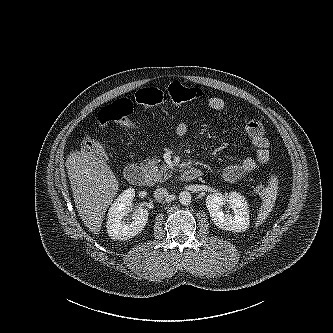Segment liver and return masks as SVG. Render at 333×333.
Instances as JSON below:
<instances>
[{
    "label": "liver",
    "mask_w": 333,
    "mask_h": 333,
    "mask_svg": "<svg viewBox=\"0 0 333 333\" xmlns=\"http://www.w3.org/2000/svg\"><path fill=\"white\" fill-rule=\"evenodd\" d=\"M66 168L78 213L84 225L99 234L119 182L104 160L85 149L70 153Z\"/></svg>",
    "instance_id": "liver-1"
}]
</instances>
